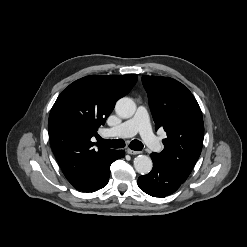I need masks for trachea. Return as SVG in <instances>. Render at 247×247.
Wrapping results in <instances>:
<instances>
[{"label":"trachea","mask_w":247,"mask_h":247,"mask_svg":"<svg viewBox=\"0 0 247 247\" xmlns=\"http://www.w3.org/2000/svg\"><path fill=\"white\" fill-rule=\"evenodd\" d=\"M98 142L101 145H104L109 148H123L125 146V142L122 139L116 140H106L101 137L98 138ZM129 147L135 151H141L143 149V144L139 140L131 141Z\"/></svg>","instance_id":"3493384b"}]
</instances>
